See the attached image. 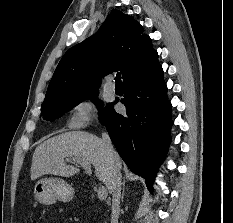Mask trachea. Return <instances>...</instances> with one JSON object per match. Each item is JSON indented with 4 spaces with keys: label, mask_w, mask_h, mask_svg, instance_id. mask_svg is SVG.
<instances>
[{
    "label": "trachea",
    "mask_w": 233,
    "mask_h": 223,
    "mask_svg": "<svg viewBox=\"0 0 233 223\" xmlns=\"http://www.w3.org/2000/svg\"><path fill=\"white\" fill-rule=\"evenodd\" d=\"M115 82H116V83H122V81H121V73H120V72H118V73L116 74Z\"/></svg>",
    "instance_id": "1"
}]
</instances>
